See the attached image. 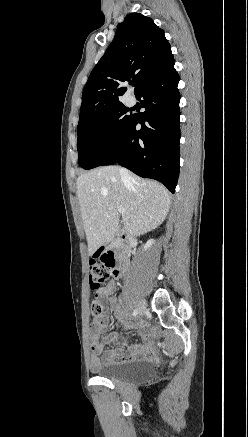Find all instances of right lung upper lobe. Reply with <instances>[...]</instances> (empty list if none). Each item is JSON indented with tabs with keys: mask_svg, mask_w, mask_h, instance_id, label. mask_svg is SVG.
<instances>
[{
	"mask_svg": "<svg viewBox=\"0 0 248 437\" xmlns=\"http://www.w3.org/2000/svg\"><path fill=\"white\" fill-rule=\"evenodd\" d=\"M172 57L164 31L140 13L126 16L84 87L79 124L121 102L125 81L136 80L135 93Z\"/></svg>",
	"mask_w": 248,
	"mask_h": 437,
	"instance_id": "1",
	"label": "right lung upper lobe"
}]
</instances>
